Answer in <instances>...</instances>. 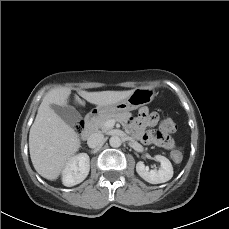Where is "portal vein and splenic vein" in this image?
Returning a JSON list of instances; mask_svg holds the SVG:
<instances>
[{"label": "portal vein and splenic vein", "mask_w": 229, "mask_h": 229, "mask_svg": "<svg viewBox=\"0 0 229 229\" xmlns=\"http://www.w3.org/2000/svg\"><path fill=\"white\" fill-rule=\"evenodd\" d=\"M115 122V120H108L104 125L108 128H112L115 125Z\"/></svg>", "instance_id": "18ae733b"}]
</instances>
